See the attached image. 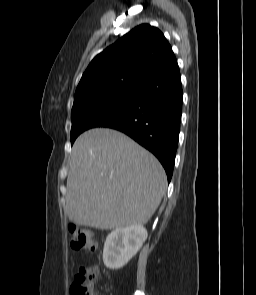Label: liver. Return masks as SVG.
<instances>
[{"mask_svg":"<svg viewBox=\"0 0 256 295\" xmlns=\"http://www.w3.org/2000/svg\"><path fill=\"white\" fill-rule=\"evenodd\" d=\"M166 186L165 171L150 152L121 132L95 128L73 145L64 211L79 226L144 225Z\"/></svg>","mask_w":256,"mask_h":295,"instance_id":"1","label":"liver"}]
</instances>
